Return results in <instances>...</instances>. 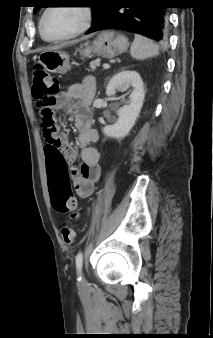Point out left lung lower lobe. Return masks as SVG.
Listing matches in <instances>:
<instances>
[{"label": "left lung lower lobe", "mask_w": 213, "mask_h": 338, "mask_svg": "<svg viewBox=\"0 0 213 338\" xmlns=\"http://www.w3.org/2000/svg\"><path fill=\"white\" fill-rule=\"evenodd\" d=\"M166 8L162 0H102L99 13L86 34L117 29L164 43L168 36Z\"/></svg>", "instance_id": "1"}]
</instances>
